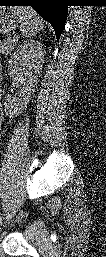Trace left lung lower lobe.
Wrapping results in <instances>:
<instances>
[{
	"label": "left lung lower lobe",
	"instance_id": "obj_1",
	"mask_svg": "<svg viewBox=\"0 0 106 257\" xmlns=\"http://www.w3.org/2000/svg\"><path fill=\"white\" fill-rule=\"evenodd\" d=\"M0 4L33 7L44 20L52 25L59 40L67 19L68 0H0Z\"/></svg>",
	"mask_w": 106,
	"mask_h": 257
}]
</instances>
